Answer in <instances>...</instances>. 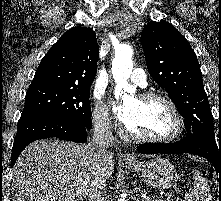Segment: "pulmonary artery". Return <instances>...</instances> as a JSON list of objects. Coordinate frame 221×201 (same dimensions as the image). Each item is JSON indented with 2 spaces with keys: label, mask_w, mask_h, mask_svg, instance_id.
<instances>
[{
  "label": "pulmonary artery",
  "mask_w": 221,
  "mask_h": 201,
  "mask_svg": "<svg viewBox=\"0 0 221 201\" xmlns=\"http://www.w3.org/2000/svg\"><path fill=\"white\" fill-rule=\"evenodd\" d=\"M130 80L140 86L145 87L147 85L146 73L141 68H135L130 76Z\"/></svg>",
  "instance_id": "obj_1"
}]
</instances>
